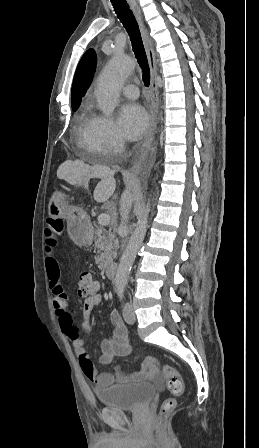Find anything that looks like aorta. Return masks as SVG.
<instances>
[{
  "mask_svg": "<svg viewBox=\"0 0 259 448\" xmlns=\"http://www.w3.org/2000/svg\"><path fill=\"white\" fill-rule=\"evenodd\" d=\"M135 67L134 60L127 55H116L106 65L99 76L95 91L100 110L107 116L111 115L118 103L120 90L125 80ZM150 212V199L137 223L126 246L115 276V286L122 292L127 284L131 267L135 260L137 251L141 247L148 226V215Z\"/></svg>",
  "mask_w": 259,
  "mask_h": 448,
  "instance_id": "obj_1",
  "label": "aorta"
}]
</instances>
